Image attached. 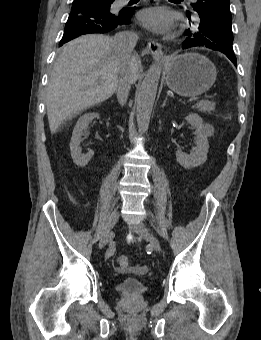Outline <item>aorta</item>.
<instances>
[{"instance_id": "aorta-1", "label": "aorta", "mask_w": 261, "mask_h": 340, "mask_svg": "<svg viewBox=\"0 0 261 340\" xmlns=\"http://www.w3.org/2000/svg\"><path fill=\"white\" fill-rule=\"evenodd\" d=\"M161 71L160 62L153 63L140 86L136 100V119L140 132H146L149 127Z\"/></svg>"}]
</instances>
